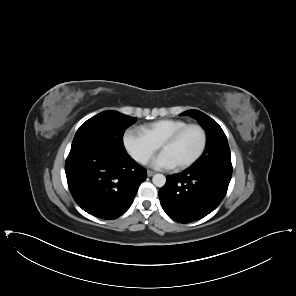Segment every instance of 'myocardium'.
<instances>
[{
	"instance_id": "myocardium-1",
	"label": "myocardium",
	"mask_w": 296,
	"mask_h": 296,
	"mask_svg": "<svg viewBox=\"0 0 296 296\" xmlns=\"http://www.w3.org/2000/svg\"><path fill=\"white\" fill-rule=\"evenodd\" d=\"M198 129L201 132L202 135V142L200 145V148L198 149V151L195 153V155L193 157H191L190 159L175 164V167L177 168H185L188 167L190 165H192L193 163H195L204 153L205 148H206V144H207V135L205 130L197 124H188L187 126H185L184 128H182L181 130H179L178 132H176L175 134H173L163 145H162V151L164 152L169 146L173 145L174 143H176L189 129Z\"/></svg>"
}]
</instances>
